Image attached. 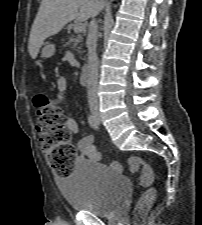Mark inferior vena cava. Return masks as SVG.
<instances>
[{
    "mask_svg": "<svg viewBox=\"0 0 202 225\" xmlns=\"http://www.w3.org/2000/svg\"><path fill=\"white\" fill-rule=\"evenodd\" d=\"M96 16V15H95ZM95 16L89 24V34L87 37V48H88V103L91 108H98L99 102L97 97L98 87V56L96 53L97 48V22Z\"/></svg>",
    "mask_w": 202,
    "mask_h": 225,
    "instance_id": "inferior-vena-cava-1",
    "label": "inferior vena cava"
}]
</instances>
